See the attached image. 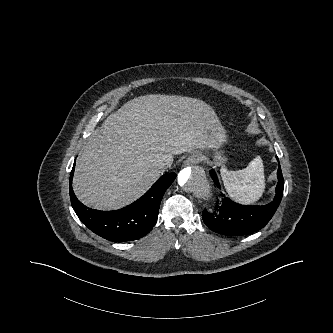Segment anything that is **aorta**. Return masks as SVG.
I'll return each instance as SVG.
<instances>
[{"mask_svg":"<svg viewBox=\"0 0 333 333\" xmlns=\"http://www.w3.org/2000/svg\"><path fill=\"white\" fill-rule=\"evenodd\" d=\"M177 184L185 194L212 205L214 192L203 168L194 166L182 169L178 173Z\"/></svg>","mask_w":333,"mask_h":333,"instance_id":"obj_1","label":"aorta"}]
</instances>
